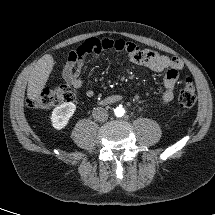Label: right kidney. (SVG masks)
<instances>
[{
	"instance_id": "right-kidney-1",
	"label": "right kidney",
	"mask_w": 215,
	"mask_h": 215,
	"mask_svg": "<svg viewBox=\"0 0 215 215\" xmlns=\"http://www.w3.org/2000/svg\"><path fill=\"white\" fill-rule=\"evenodd\" d=\"M75 110L76 105L71 102L63 103L57 106L50 116V121L53 128H55L56 130L65 128L70 118L73 116Z\"/></svg>"
}]
</instances>
